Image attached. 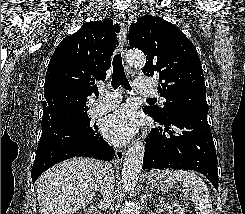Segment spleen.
I'll return each instance as SVG.
<instances>
[{"mask_svg": "<svg viewBox=\"0 0 245 214\" xmlns=\"http://www.w3.org/2000/svg\"><path fill=\"white\" fill-rule=\"evenodd\" d=\"M173 175L189 193L195 205L196 214H213L211 196L200 177L187 170H175Z\"/></svg>", "mask_w": 245, "mask_h": 214, "instance_id": "1", "label": "spleen"}]
</instances>
